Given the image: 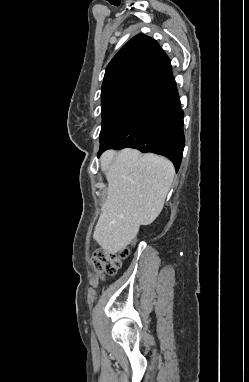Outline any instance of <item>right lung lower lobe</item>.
<instances>
[{"label": "right lung lower lobe", "mask_w": 249, "mask_h": 382, "mask_svg": "<svg viewBox=\"0 0 249 382\" xmlns=\"http://www.w3.org/2000/svg\"><path fill=\"white\" fill-rule=\"evenodd\" d=\"M184 146L183 111L175 84L122 133L100 146L98 154L110 148H135L169 158L178 171Z\"/></svg>", "instance_id": "obj_1"}]
</instances>
